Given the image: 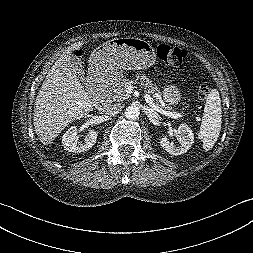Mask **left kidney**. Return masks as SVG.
Returning a JSON list of instances; mask_svg holds the SVG:
<instances>
[{
  "mask_svg": "<svg viewBox=\"0 0 253 253\" xmlns=\"http://www.w3.org/2000/svg\"><path fill=\"white\" fill-rule=\"evenodd\" d=\"M177 132L179 146H176L174 143L169 142L167 137H163L160 140V146L169 154L174 156L186 153L194 143V134L188 125L180 124Z\"/></svg>",
  "mask_w": 253,
  "mask_h": 253,
  "instance_id": "1",
  "label": "left kidney"
}]
</instances>
